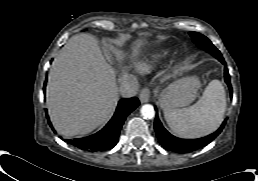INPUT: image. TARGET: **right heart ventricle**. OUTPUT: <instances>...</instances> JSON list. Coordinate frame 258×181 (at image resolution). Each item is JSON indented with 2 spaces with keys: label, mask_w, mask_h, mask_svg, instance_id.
I'll list each match as a JSON object with an SVG mask.
<instances>
[{
  "label": "right heart ventricle",
  "mask_w": 258,
  "mask_h": 181,
  "mask_svg": "<svg viewBox=\"0 0 258 181\" xmlns=\"http://www.w3.org/2000/svg\"><path fill=\"white\" fill-rule=\"evenodd\" d=\"M166 55H167V51L166 50H160L158 52H155L152 55H150V57L146 61L141 63L139 65V68L141 70H143V71L147 70L149 68L150 63L155 62L157 60H162L163 58L166 57Z\"/></svg>",
  "instance_id": "1"
}]
</instances>
